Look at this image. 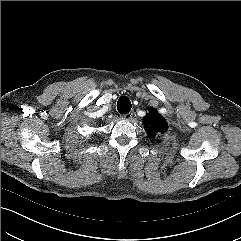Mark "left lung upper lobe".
<instances>
[{"instance_id":"obj_1","label":"left lung upper lobe","mask_w":241,"mask_h":241,"mask_svg":"<svg viewBox=\"0 0 241 241\" xmlns=\"http://www.w3.org/2000/svg\"><path fill=\"white\" fill-rule=\"evenodd\" d=\"M143 120L144 126L147 128L149 138H154L157 133H163L167 130L168 124L166 123L165 119L153 108L149 109V113L144 117Z\"/></svg>"}]
</instances>
